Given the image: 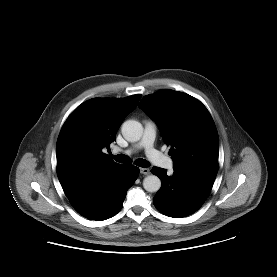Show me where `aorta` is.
<instances>
[{
	"label": "aorta",
	"mask_w": 277,
	"mask_h": 277,
	"mask_svg": "<svg viewBox=\"0 0 277 277\" xmlns=\"http://www.w3.org/2000/svg\"><path fill=\"white\" fill-rule=\"evenodd\" d=\"M121 131L127 141L137 142L142 137L143 127L136 120H127L122 124ZM143 187L148 192H157L161 188V180L155 175H149L144 178Z\"/></svg>",
	"instance_id": "obj_1"
}]
</instances>
